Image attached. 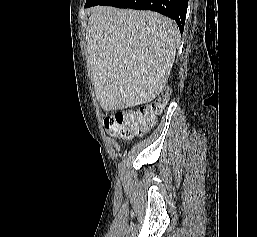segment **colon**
Instances as JSON below:
<instances>
[{"label":"colon","mask_w":257,"mask_h":237,"mask_svg":"<svg viewBox=\"0 0 257 237\" xmlns=\"http://www.w3.org/2000/svg\"><path fill=\"white\" fill-rule=\"evenodd\" d=\"M168 99V91L165 90L151 104L140 107L134 112L119 111L107 117L104 127L117 133L122 138H131L143 134L153 126L155 120L164 109Z\"/></svg>","instance_id":"5ec220e1"}]
</instances>
